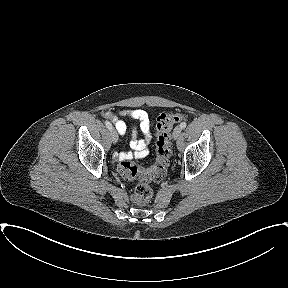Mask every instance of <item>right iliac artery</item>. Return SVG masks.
Wrapping results in <instances>:
<instances>
[{
	"instance_id": "82829eb1",
	"label": "right iliac artery",
	"mask_w": 288,
	"mask_h": 288,
	"mask_svg": "<svg viewBox=\"0 0 288 288\" xmlns=\"http://www.w3.org/2000/svg\"><path fill=\"white\" fill-rule=\"evenodd\" d=\"M105 124H106V127H107L109 130L112 129V125H111V123H110L109 121H106Z\"/></svg>"
}]
</instances>
